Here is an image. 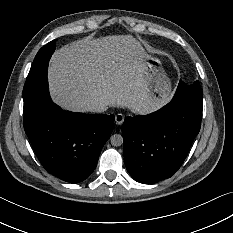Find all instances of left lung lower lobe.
<instances>
[{"label":"left lung lower lobe","instance_id":"left-lung-lower-lobe-1","mask_svg":"<svg viewBox=\"0 0 233 233\" xmlns=\"http://www.w3.org/2000/svg\"><path fill=\"white\" fill-rule=\"evenodd\" d=\"M202 99L201 87L181 81L171 102L160 110L125 118L124 162L136 181L156 183L181 167L200 131Z\"/></svg>","mask_w":233,"mask_h":233}]
</instances>
